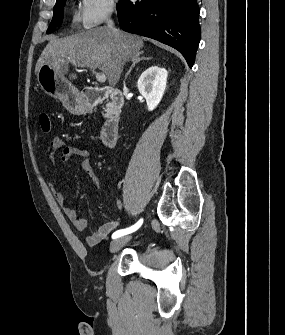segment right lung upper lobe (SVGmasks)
Returning <instances> with one entry per match:
<instances>
[{
    "label": "right lung upper lobe",
    "mask_w": 285,
    "mask_h": 335,
    "mask_svg": "<svg viewBox=\"0 0 285 335\" xmlns=\"http://www.w3.org/2000/svg\"><path fill=\"white\" fill-rule=\"evenodd\" d=\"M63 0H56V4H58V3H60V2H62Z\"/></svg>",
    "instance_id": "cb5924a9"
}]
</instances>
